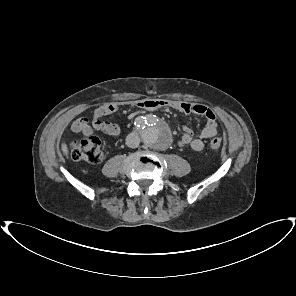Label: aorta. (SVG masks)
<instances>
[{
	"label": "aorta",
	"mask_w": 296,
	"mask_h": 296,
	"mask_svg": "<svg viewBox=\"0 0 296 296\" xmlns=\"http://www.w3.org/2000/svg\"><path fill=\"white\" fill-rule=\"evenodd\" d=\"M143 143L153 149L164 151L172 143V134L169 128L158 121L154 116H149L137 123Z\"/></svg>",
	"instance_id": "obj_1"
}]
</instances>
